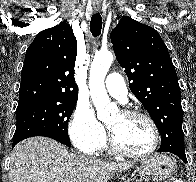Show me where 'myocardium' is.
Listing matches in <instances>:
<instances>
[{
  "label": "myocardium",
  "mask_w": 196,
  "mask_h": 182,
  "mask_svg": "<svg viewBox=\"0 0 196 182\" xmlns=\"http://www.w3.org/2000/svg\"><path fill=\"white\" fill-rule=\"evenodd\" d=\"M121 113L123 115L129 116V117H138V118L144 119L149 124V126L152 130L153 142H152L151 147L148 150H146L145 152L134 153V152H130V151L126 150L125 148H123L117 142V140L113 136L112 132H110L109 141H110V145H111L112 150L122 156H125L128 158H133V159H142V158H146V157L150 156L151 154H153L155 152V150L157 149V147L159 145V140H160L159 129H158L155 121L148 114L141 112V111H138V110L124 109L121 111Z\"/></svg>",
  "instance_id": "myocardium-1"
}]
</instances>
